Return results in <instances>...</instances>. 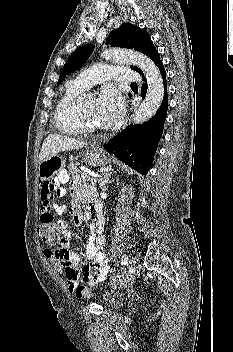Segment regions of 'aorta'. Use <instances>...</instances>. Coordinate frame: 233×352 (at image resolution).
<instances>
[{"label":"aorta","mask_w":233,"mask_h":352,"mask_svg":"<svg viewBox=\"0 0 233 352\" xmlns=\"http://www.w3.org/2000/svg\"><path fill=\"white\" fill-rule=\"evenodd\" d=\"M106 60L132 64L139 67L146 76L148 89L143 103L132 116L133 124L148 121L159 109L163 96L164 84L158 68L144 54L124 49L111 48L102 53Z\"/></svg>","instance_id":"obj_1"}]
</instances>
